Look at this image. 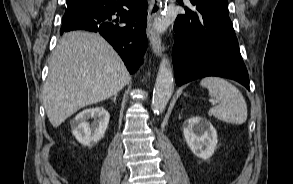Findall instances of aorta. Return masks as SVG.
Wrapping results in <instances>:
<instances>
[{
	"instance_id": "obj_1",
	"label": "aorta",
	"mask_w": 293,
	"mask_h": 184,
	"mask_svg": "<svg viewBox=\"0 0 293 184\" xmlns=\"http://www.w3.org/2000/svg\"><path fill=\"white\" fill-rule=\"evenodd\" d=\"M173 72L170 62L166 56L162 58L156 77L155 88L152 99V110L154 113H162L173 92Z\"/></svg>"
}]
</instances>
